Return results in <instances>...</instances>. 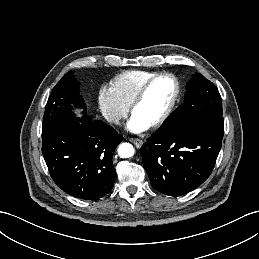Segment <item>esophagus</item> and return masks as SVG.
Listing matches in <instances>:
<instances>
[{
	"label": "esophagus",
	"instance_id": "esophagus-1",
	"mask_svg": "<svg viewBox=\"0 0 259 259\" xmlns=\"http://www.w3.org/2000/svg\"><path fill=\"white\" fill-rule=\"evenodd\" d=\"M137 148H140L143 144V141L138 138H130L129 139Z\"/></svg>",
	"mask_w": 259,
	"mask_h": 259
}]
</instances>
